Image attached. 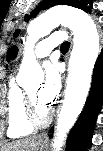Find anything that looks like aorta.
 I'll return each mask as SVG.
<instances>
[{"instance_id":"aorta-1","label":"aorta","mask_w":103,"mask_h":151,"mask_svg":"<svg viewBox=\"0 0 103 151\" xmlns=\"http://www.w3.org/2000/svg\"><path fill=\"white\" fill-rule=\"evenodd\" d=\"M60 24L73 31L74 45L54 140L55 151L61 150L66 133L75 124L83 109L91 86L93 68L99 54V34L94 21L87 13L63 6L50 8L28 25L24 57L18 77L24 78L33 71L40 70L33 52L34 45Z\"/></svg>"}]
</instances>
